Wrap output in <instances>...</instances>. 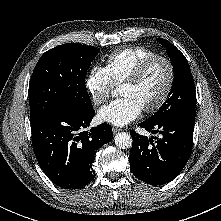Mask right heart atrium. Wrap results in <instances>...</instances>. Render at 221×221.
Wrapping results in <instances>:
<instances>
[{
    "mask_svg": "<svg viewBox=\"0 0 221 221\" xmlns=\"http://www.w3.org/2000/svg\"><path fill=\"white\" fill-rule=\"evenodd\" d=\"M113 86L107 66L94 65L90 68L85 87L95 105H102L107 101Z\"/></svg>",
    "mask_w": 221,
    "mask_h": 221,
    "instance_id": "right-heart-atrium-1",
    "label": "right heart atrium"
}]
</instances>
